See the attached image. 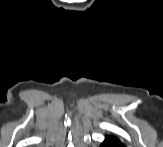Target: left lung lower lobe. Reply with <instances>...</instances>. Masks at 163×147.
Returning a JSON list of instances; mask_svg holds the SVG:
<instances>
[{"label":"left lung lower lobe","mask_w":163,"mask_h":147,"mask_svg":"<svg viewBox=\"0 0 163 147\" xmlns=\"http://www.w3.org/2000/svg\"><path fill=\"white\" fill-rule=\"evenodd\" d=\"M101 147H125L121 141L114 136H106V139L102 143Z\"/></svg>","instance_id":"0a47b994"}]
</instances>
